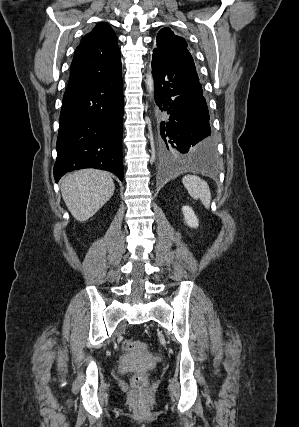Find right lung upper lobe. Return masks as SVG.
<instances>
[{"label":"right lung upper lobe","mask_w":299,"mask_h":427,"mask_svg":"<svg viewBox=\"0 0 299 427\" xmlns=\"http://www.w3.org/2000/svg\"><path fill=\"white\" fill-rule=\"evenodd\" d=\"M117 37L106 23H99L76 48L67 89L106 80L121 70Z\"/></svg>","instance_id":"cb5924a9"}]
</instances>
